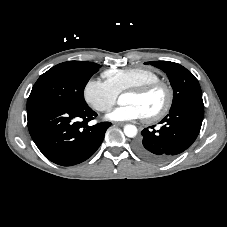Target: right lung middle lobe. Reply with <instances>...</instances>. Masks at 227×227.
<instances>
[{"label": "right lung middle lobe", "mask_w": 227, "mask_h": 227, "mask_svg": "<svg viewBox=\"0 0 227 227\" xmlns=\"http://www.w3.org/2000/svg\"><path fill=\"white\" fill-rule=\"evenodd\" d=\"M99 67V64L84 61H68L52 67L34 84L27 108L42 102L86 106L83 91Z\"/></svg>", "instance_id": "right-lung-middle-lobe-1"}]
</instances>
